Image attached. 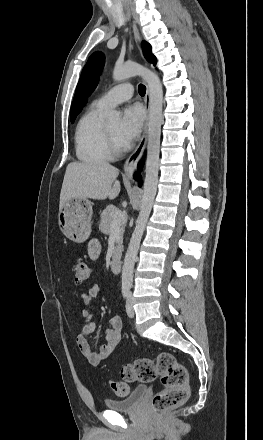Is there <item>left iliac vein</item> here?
<instances>
[{
	"mask_svg": "<svg viewBox=\"0 0 263 440\" xmlns=\"http://www.w3.org/2000/svg\"><path fill=\"white\" fill-rule=\"evenodd\" d=\"M126 312H127L128 317H130V318L134 317V310L132 307V297L130 294L127 297Z\"/></svg>",
	"mask_w": 263,
	"mask_h": 440,
	"instance_id": "left-iliac-vein-1",
	"label": "left iliac vein"
}]
</instances>
